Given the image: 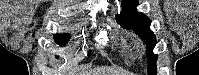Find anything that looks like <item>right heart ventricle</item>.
<instances>
[{"instance_id":"1","label":"right heart ventricle","mask_w":199,"mask_h":75,"mask_svg":"<svg viewBox=\"0 0 199 75\" xmlns=\"http://www.w3.org/2000/svg\"><path fill=\"white\" fill-rule=\"evenodd\" d=\"M122 40H123V42H125V43L127 42V38H126V37H123Z\"/></svg>"}]
</instances>
